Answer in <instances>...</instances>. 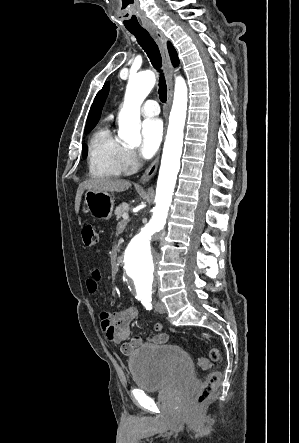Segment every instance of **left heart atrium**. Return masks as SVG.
<instances>
[{"label": "left heart atrium", "mask_w": 299, "mask_h": 443, "mask_svg": "<svg viewBox=\"0 0 299 443\" xmlns=\"http://www.w3.org/2000/svg\"><path fill=\"white\" fill-rule=\"evenodd\" d=\"M163 134V124L158 118L146 119L141 126L140 154L150 158L156 152Z\"/></svg>", "instance_id": "left-heart-atrium-1"}]
</instances>
